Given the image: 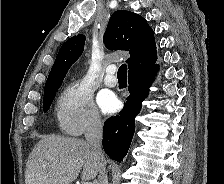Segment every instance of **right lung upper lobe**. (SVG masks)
I'll return each mask as SVG.
<instances>
[{"label": "right lung upper lobe", "instance_id": "obj_1", "mask_svg": "<svg viewBox=\"0 0 224 184\" xmlns=\"http://www.w3.org/2000/svg\"><path fill=\"white\" fill-rule=\"evenodd\" d=\"M85 44V36L69 38L60 48L45 84L44 94L57 90L68 69L80 57ZM104 44L110 50L129 51L126 60L129 74L155 64L157 60L154 32L140 15L117 10L109 20L104 34Z\"/></svg>", "mask_w": 224, "mask_h": 184}]
</instances>
